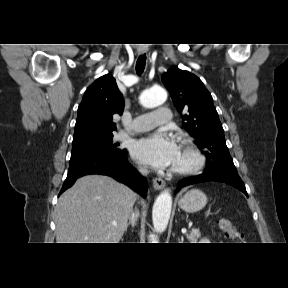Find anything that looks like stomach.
<instances>
[{"mask_svg":"<svg viewBox=\"0 0 288 288\" xmlns=\"http://www.w3.org/2000/svg\"><path fill=\"white\" fill-rule=\"evenodd\" d=\"M206 204L207 197L199 189H191L185 193L178 202L179 207L188 213L198 212L203 209Z\"/></svg>","mask_w":288,"mask_h":288,"instance_id":"1","label":"stomach"}]
</instances>
